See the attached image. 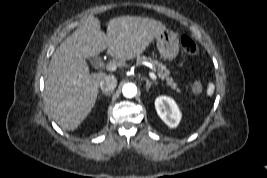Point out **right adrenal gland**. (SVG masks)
Masks as SVG:
<instances>
[{"label":"right adrenal gland","mask_w":267,"mask_h":178,"mask_svg":"<svg viewBox=\"0 0 267 178\" xmlns=\"http://www.w3.org/2000/svg\"><path fill=\"white\" fill-rule=\"evenodd\" d=\"M102 94H104L106 96H111V92H109V93L103 92Z\"/></svg>","instance_id":"1"}]
</instances>
